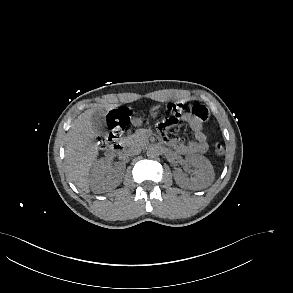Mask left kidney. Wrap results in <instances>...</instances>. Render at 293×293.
Returning <instances> with one entry per match:
<instances>
[{"label":"left kidney","instance_id":"5707ae66","mask_svg":"<svg viewBox=\"0 0 293 293\" xmlns=\"http://www.w3.org/2000/svg\"><path fill=\"white\" fill-rule=\"evenodd\" d=\"M186 163L195 168L194 177L188 179L181 171H175L173 176L176 183L181 186H190L200 190L210 186L214 180V170L210 161L204 156H190L186 158Z\"/></svg>","mask_w":293,"mask_h":293}]
</instances>
